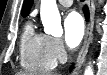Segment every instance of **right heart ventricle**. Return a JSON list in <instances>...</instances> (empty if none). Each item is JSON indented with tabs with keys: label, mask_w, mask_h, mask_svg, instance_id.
Masks as SVG:
<instances>
[{
	"label": "right heart ventricle",
	"mask_w": 107,
	"mask_h": 75,
	"mask_svg": "<svg viewBox=\"0 0 107 75\" xmlns=\"http://www.w3.org/2000/svg\"><path fill=\"white\" fill-rule=\"evenodd\" d=\"M20 64L32 72H48L56 65L50 51L49 37L37 32L32 21L25 24L21 35Z\"/></svg>",
	"instance_id": "e07e8e85"
}]
</instances>
